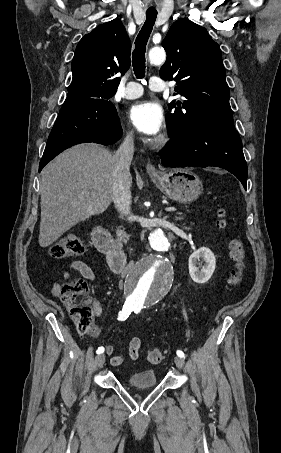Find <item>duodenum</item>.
Wrapping results in <instances>:
<instances>
[{"mask_svg": "<svg viewBox=\"0 0 281 453\" xmlns=\"http://www.w3.org/2000/svg\"><path fill=\"white\" fill-rule=\"evenodd\" d=\"M92 238L96 248L107 257L111 270L118 274L123 273L127 266L126 255L110 232L103 226H97Z\"/></svg>", "mask_w": 281, "mask_h": 453, "instance_id": "1", "label": "duodenum"}]
</instances>
